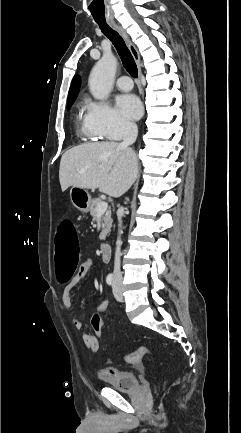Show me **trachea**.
<instances>
[{
	"label": "trachea",
	"mask_w": 241,
	"mask_h": 433,
	"mask_svg": "<svg viewBox=\"0 0 241 433\" xmlns=\"http://www.w3.org/2000/svg\"><path fill=\"white\" fill-rule=\"evenodd\" d=\"M92 8L94 9L93 22L97 26H99L102 33L107 38H109L110 41L112 42V44L115 46L125 69L130 73L131 76H133L134 78H137L138 77V69H137V65L135 63V60H134L131 52L127 48L123 38L119 35V33L116 32L115 30H113L106 23L105 14H104L106 5L103 2H100V3L95 2L92 5Z\"/></svg>",
	"instance_id": "3493384b"
}]
</instances>
